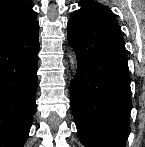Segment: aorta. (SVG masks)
<instances>
[{
    "label": "aorta",
    "instance_id": "aorta-1",
    "mask_svg": "<svg viewBox=\"0 0 145 147\" xmlns=\"http://www.w3.org/2000/svg\"><path fill=\"white\" fill-rule=\"evenodd\" d=\"M69 62H70L72 71L75 73L77 71V59H76L75 53L72 50L69 53Z\"/></svg>",
    "mask_w": 145,
    "mask_h": 147
}]
</instances>
